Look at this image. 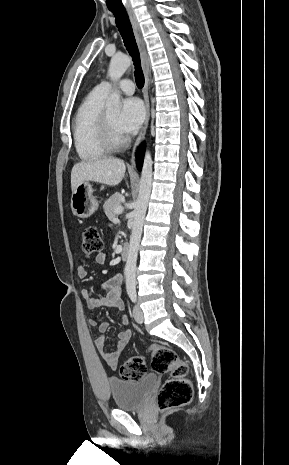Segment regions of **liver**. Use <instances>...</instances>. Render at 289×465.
Wrapping results in <instances>:
<instances>
[{
    "label": "liver",
    "mask_w": 289,
    "mask_h": 465,
    "mask_svg": "<svg viewBox=\"0 0 289 465\" xmlns=\"http://www.w3.org/2000/svg\"><path fill=\"white\" fill-rule=\"evenodd\" d=\"M125 170L124 161L116 158L77 163L71 171L72 192L83 181H94L109 186H116L122 181Z\"/></svg>",
    "instance_id": "liver-1"
}]
</instances>
